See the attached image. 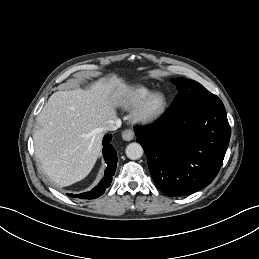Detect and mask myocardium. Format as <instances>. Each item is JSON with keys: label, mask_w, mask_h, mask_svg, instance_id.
<instances>
[{"label": "myocardium", "mask_w": 259, "mask_h": 259, "mask_svg": "<svg viewBox=\"0 0 259 259\" xmlns=\"http://www.w3.org/2000/svg\"><path fill=\"white\" fill-rule=\"evenodd\" d=\"M160 99V105L152 109L151 105L155 99ZM167 108V98L162 92H153L147 95L133 112L132 119L138 124H148L159 119Z\"/></svg>", "instance_id": "1"}]
</instances>
